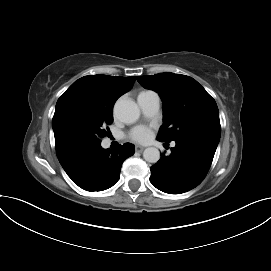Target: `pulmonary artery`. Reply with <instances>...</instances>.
Instances as JSON below:
<instances>
[{
  "label": "pulmonary artery",
  "instance_id": "1",
  "mask_svg": "<svg viewBox=\"0 0 271 271\" xmlns=\"http://www.w3.org/2000/svg\"><path fill=\"white\" fill-rule=\"evenodd\" d=\"M137 100L145 116L153 117L158 113L160 108V99L157 93L153 91L140 93Z\"/></svg>",
  "mask_w": 271,
  "mask_h": 271
}]
</instances>
